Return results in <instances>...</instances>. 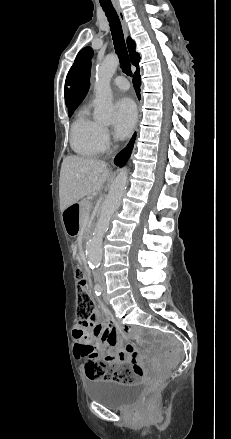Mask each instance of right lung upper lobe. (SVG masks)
Returning a JSON list of instances; mask_svg holds the SVG:
<instances>
[{"instance_id": "cb5924a9", "label": "right lung upper lobe", "mask_w": 231, "mask_h": 439, "mask_svg": "<svg viewBox=\"0 0 231 439\" xmlns=\"http://www.w3.org/2000/svg\"><path fill=\"white\" fill-rule=\"evenodd\" d=\"M127 46L129 50V55L131 62L137 68L139 63V54L135 51V43L132 39L128 38ZM90 71H91V62H88L82 70V73L79 75L78 79L74 82L73 80L66 81L65 85L71 86V93L65 96L66 105H68L69 110L75 109L86 96L89 86H90Z\"/></svg>"}]
</instances>
